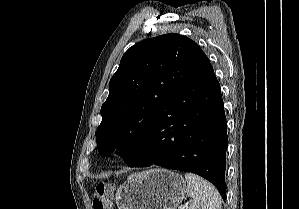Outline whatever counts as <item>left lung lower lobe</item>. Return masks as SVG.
<instances>
[{
    "instance_id": "1",
    "label": "left lung lower lobe",
    "mask_w": 299,
    "mask_h": 209,
    "mask_svg": "<svg viewBox=\"0 0 299 209\" xmlns=\"http://www.w3.org/2000/svg\"><path fill=\"white\" fill-rule=\"evenodd\" d=\"M227 147L221 89L209 63L163 105L128 166L155 164L198 174L225 200Z\"/></svg>"
}]
</instances>
